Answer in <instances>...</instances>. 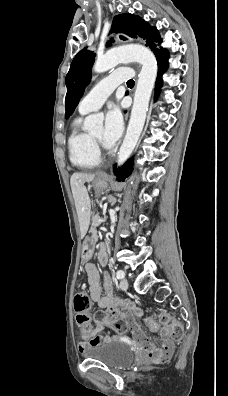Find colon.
Returning <instances> with one entry per match:
<instances>
[{
	"label": "colon",
	"mask_w": 228,
	"mask_h": 396,
	"mask_svg": "<svg viewBox=\"0 0 228 396\" xmlns=\"http://www.w3.org/2000/svg\"><path fill=\"white\" fill-rule=\"evenodd\" d=\"M91 306V299L86 292L80 291L76 294L74 298V309L77 313V323L82 332L87 331L91 327L90 319L87 315ZM95 320L97 323L106 324L119 334L125 333L128 329V325L124 320L112 319L106 311L97 312ZM158 320L159 322L153 316L147 317L146 324L148 328L152 331H157L160 323L169 332L172 340L176 342L182 340L184 327L180 321L166 312L159 313Z\"/></svg>",
	"instance_id": "colon-1"
}]
</instances>
